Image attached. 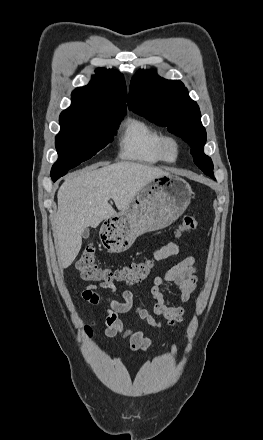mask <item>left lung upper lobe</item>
Returning <instances> with one entry per match:
<instances>
[{"mask_svg": "<svg viewBox=\"0 0 263 440\" xmlns=\"http://www.w3.org/2000/svg\"><path fill=\"white\" fill-rule=\"evenodd\" d=\"M128 105L135 113L182 137L191 147L195 164L214 178L212 160L203 152L206 131L199 107L181 81L139 70L130 83Z\"/></svg>", "mask_w": 263, "mask_h": 440, "instance_id": "left-lung-upper-lobe-1", "label": "left lung upper lobe"}]
</instances>
